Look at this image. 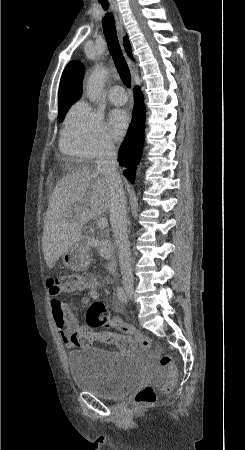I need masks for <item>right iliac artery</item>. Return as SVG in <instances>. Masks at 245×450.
Listing matches in <instances>:
<instances>
[{
  "label": "right iliac artery",
  "mask_w": 245,
  "mask_h": 450,
  "mask_svg": "<svg viewBox=\"0 0 245 450\" xmlns=\"http://www.w3.org/2000/svg\"><path fill=\"white\" fill-rule=\"evenodd\" d=\"M117 296L122 302H126V300H127L126 295L124 293V290L121 287H119L117 289Z\"/></svg>",
  "instance_id": "1"
}]
</instances>
